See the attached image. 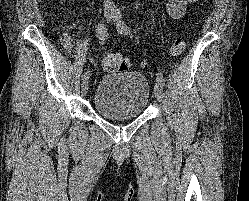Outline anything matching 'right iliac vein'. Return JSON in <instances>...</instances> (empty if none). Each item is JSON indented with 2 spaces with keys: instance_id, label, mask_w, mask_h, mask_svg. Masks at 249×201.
Instances as JSON below:
<instances>
[{
  "instance_id": "obj_1",
  "label": "right iliac vein",
  "mask_w": 249,
  "mask_h": 201,
  "mask_svg": "<svg viewBox=\"0 0 249 201\" xmlns=\"http://www.w3.org/2000/svg\"><path fill=\"white\" fill-rule=\"evenodd\" d=\"M114 10L110 7H106L105 8V17L107 19V21H112L114 20ZM89 89V83L87 79H84L82 84H81V93L83 96H85L88 92Z\"/></svg>"
}]
</instances>
